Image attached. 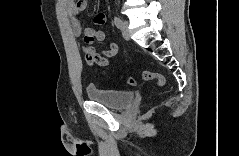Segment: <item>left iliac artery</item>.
Returning a JSON list of instances; mask_svg holds the SVG:
<instances>
[{
  "mask_svg": "<svg viewBox=\"0 0 239 156\" xmlns=\"http://www.w3.org/2000/svg\"><path fill=\"white\" fill-rule=\"evenodd\" d=\"M114 24L116 25L117 28H119V29L121 28L122 21L118 16L114 17Z\"/></svg>",
  "mask_w": 239,
  "mask_h": 156,
  "instance_id": "44dca946",
  "label": "left iliac artery"
}]
</instances>
